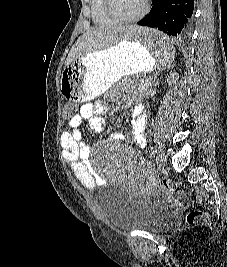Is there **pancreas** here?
I'll return each instance as SVG.
<instances>
[{
	"label": "pancreas",
	"instance_id": "cf45deb5",
	"mask_svg": "<svg viewBox=\"0 0 227 267\" xmlns=\"http://www.w3.org/2000/svg\"><path fill=\"white\" fill-rule=\"evenodd\" d=\"M147 81L144 79H135L133 77H126L119 83V85L128 86V89L143 92L146 90Z\"/></svg>",
	"mask_w": 227,
	"mask_h": 267
}]
</instances>
